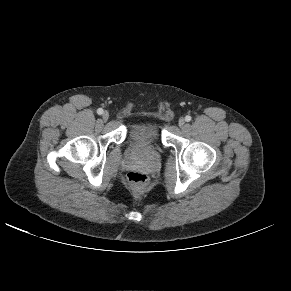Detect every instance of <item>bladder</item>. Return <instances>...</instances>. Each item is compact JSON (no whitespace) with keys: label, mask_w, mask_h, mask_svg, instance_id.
<instances>
[{"label":"bladder","mask_w":291,"mask_h":291,"mask_svg":"<svg viewBox=\"0 0 291 291\" xmlns=\"http://www.w3.org/2000/svg\"><path fill=\"white\" fill-rule=\"evenodd\" d=\"M128 134L135 142L153 143L160 140L161 129L156 122L141 121L132 124Z\"/></svg>","instance_id":"31cf9c89"}]
</instances>
